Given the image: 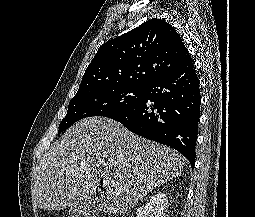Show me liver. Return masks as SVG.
Returning a JSON list of instances; mask_svg holds the SVG:
<instances>
[{"label":"liver","instance_id":"6515ba94","mask_svg":"<svg viewBox=\"0 0 255 217\" xmlns=\"http://www.w3.org/2000/svg\"><path fill=\"white\" fill-rule=\"evenodd\" d=\"M183 156L133 134L105 117L85 118L70 127L42 156L33 175L32 199L43 210H62L110 185L97 206L108 214L134 207L161 183L179 176Z\"/></svg>","mask_w":255,"mask_h":217}]
</instances>
